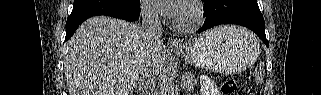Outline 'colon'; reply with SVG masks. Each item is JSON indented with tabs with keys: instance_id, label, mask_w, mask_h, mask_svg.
<instances>
[{
	"instance_id": "obj_1",
	"label": "colon",
	"mask_w": 321,
	"mask_h": 95,
	"mask_svg": "<svg viewBox=\"0 0 321 95\" xmlns=\"http://www.w3.org/2000/svg\"><path fill=\"white\" fill-rule=\"evenodd\" d=\"M236 90V81L232 78H228L223 81L221 85L222 94H233Z\"/></svg>"
}]
</instances>
